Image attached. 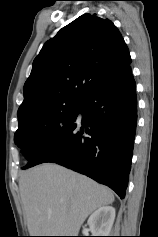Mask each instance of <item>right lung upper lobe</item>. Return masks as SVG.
<instances>
[{
  "instance_id": "right-lung-upper-lobe-1",
  "label": "right lung upper lobe",
  "mask_w": 158,
  "mask_h": 237,
  "mask_svg": "<svg viewBox=\"0 0 158 237\" xmlns=\"http://www.w3.org/2000/svg\"><path fill=\"white\" fill-rule=\"evenodd\" d=\"M131 63L117 27L96 14H84L47 41L24 85L18 116L58 98L84 100Z\"/></svg>"
}]
</instances>
